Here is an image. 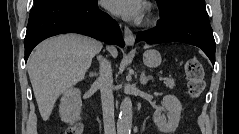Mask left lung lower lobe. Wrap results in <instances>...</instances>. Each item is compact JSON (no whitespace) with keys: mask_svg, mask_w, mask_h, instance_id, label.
Listing matches in <instances>:
<instances>
[{"mask_svg":"<svg viewBox=\"0 0 239 134\" xmlns=\"http://www.w3.org/2000/svg\"><path fill=\"white\" fill-rule=\"evenodd\" d=\"M146 41L150 44L183 42L201 48L215 63V40L205 1L185 0L170 13L161 16L158 25L148 31L138 32L136 42Z\"/></svg>","mask_w":239,"mask_h":134,"instance_id":"obj_1","label":"left lung lower lobe"}]
</instances>
